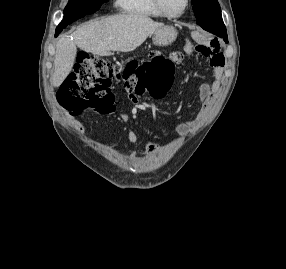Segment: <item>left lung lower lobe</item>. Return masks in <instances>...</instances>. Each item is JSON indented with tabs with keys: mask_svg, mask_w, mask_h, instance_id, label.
<instances>
[{
	"mask_svg": "<svg viewBox=\"0 0 286 269\" xmlns=\"http://www.w3.org/2000/svg\"><path fill=\"white\" fill-rule=\"evenodd\" d=\"M219 37H222L226 43L228 42L227 34L219 35Z\"/></svg>",
	"mask_w": 286,
	"mask_h": 269,
	"instance_id": "obj_1",
	"label": "left lung lower lobe"
}]
</instances>
